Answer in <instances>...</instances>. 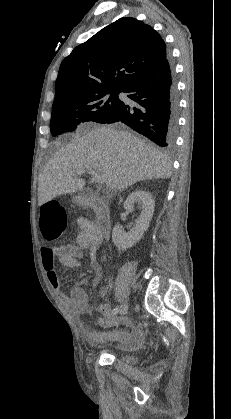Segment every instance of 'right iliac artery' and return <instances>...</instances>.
Instances as JSON below:
<instances>
[{
    "mask_svg": "<svg viewBox=\"0 0 231 419\" xmlns=\"http://www.w3.org/2000/svg\"><path fill=\"white\" fill-rule=\"evenodd\" d=\"M121 306H117L114 310H113V314H116L119 310H120Z\"/></svg>",
    "mask_w": 231,
    "mask_h": 419,
    "instance_id": "1",
    "label": "right iliac artery"
}]
</instances>
